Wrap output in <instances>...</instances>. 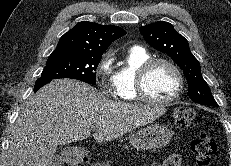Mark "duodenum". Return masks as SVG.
I'll return each instance as SVG.
<instances>
[{
  "mask_svg": "<svg viewBox=\"0 0 231 166\" xmlns=\"http://www.w3.org/2000/svg\"><path fill=\"white\" fill-rule=\"evenodd\" d=\"M63 158L66 162L84 166L89 164L90 157L86 152H77L68 150L63 153Z\"/></svg>",
  "mask_w": 231,
  "mask_h": 166,
  "instance_id": "410a0bca",
  "label": "duodenum"
}]
</instances>
